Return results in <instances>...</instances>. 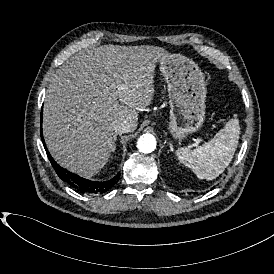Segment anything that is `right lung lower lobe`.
<instances>
[{"instance_id":"obj_1","label":"right lung lower lobe","mask_w":274,"mask_h":274,"mask_svg":"<svg viewBox=\"0 0 274 274\" xmlns=\"http://www.w3.org/2000/svg\"><path fill=\"white\" fill-rule=\"evenodd\" d=\"M40 124H42V111H41V121ZM42 129H40L41 131ZM41 139L43 141L46 153L48 155V158L53 166V168L55 169L56 173L58 174V176L65 182H67L70 186H72L73 188L79 190L80 192L83 193H92V194H97V193H104L106 191H108L109 189H111L119 180L120 178V173H118L114 178L105 181V182H97V181H90L87 179H84L76 174H73L69 171H67L66 169L62 168L61 166H59L54 159L52 158V156L50 155V153L48 152L46 146H45V142L42 136V132H41Z\"/></svg>"}]
</instances>
